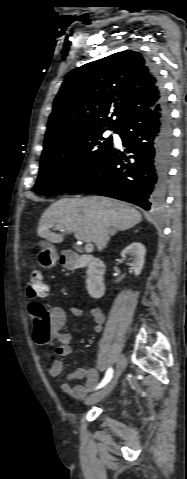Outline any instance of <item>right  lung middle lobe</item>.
Masks as SVG:
<instances>
[{
    "mask_svg": "<svg viewBox=\"0 0 187 479\" xmlns=\"http://www.w3.org/2000/svg\"><path fill=\"white\" fill-rule=\"evenodd\" d=\"M106 130L85 131L44 147L39 176L33 191L58 195L75 186L112 149V136Z\"/></svg>",
    "mask_w": 187,
    "mask_h": 479,
    "instance_id": "right-lung-middle-lobe-1",
    "label": "right lung middle lobe"
}]
</instances>
